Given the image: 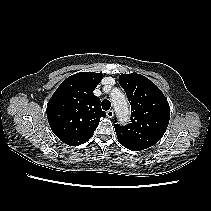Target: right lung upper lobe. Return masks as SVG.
I'll return each mask as SVG.
<instances>
[{"instance_id":"obj_1","label":"right lung upper lobe","mask_w":211,"mask_h":211,"mask_svg":"<svg viewBox=\"0 0 211 211\" xmlns=\"http://www.w3.org/2000/svg\"><path fill=\"white\" fill-rule=\"evenodd\" d=\"M103 75L81 72L64 80L47 104V118L53 133L65 144L81 145L91 138L100 118V99L93 94Z\"/></svg>"}]
</instances>
